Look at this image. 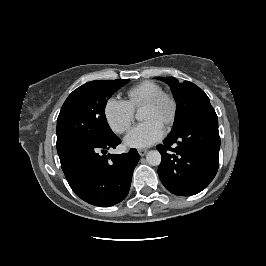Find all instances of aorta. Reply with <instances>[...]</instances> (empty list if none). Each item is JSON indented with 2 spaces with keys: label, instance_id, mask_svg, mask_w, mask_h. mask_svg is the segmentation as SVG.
Here are the masks:
<instances>
[{
  "label": "aorta",
  "instance_id": "aorta-1",
  "mask_svg": "<svg viewBox=\"0 0 266 266\" xmlns=\"http://www.w3.org/2000/svg\"><path fill=\"white\" fill-rule=\"evenodd\" d=\"M136 118L138 120L141 118L139 112H137ZM146 161L149 165L157 166L161 163V154L157 150H151L146 155Z\"/></svg>",
  "mask_w": 266,
  "mask_h": 266
}]
</instances>
